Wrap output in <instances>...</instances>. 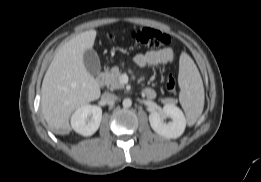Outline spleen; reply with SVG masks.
Here are the masks:
<instances>
[{
	"mask_svg": "<svg viewBox=\"0 0 261 182\" xmlns=\"http://www.w3.org/2000/svg\"><path fill=\"white\" fill-rule=\"evenodd\" d=\"M180 104L186 114L189 126L196 123L204 107V87L201 75L192 58L182 53L179 60Z\"/></svg>",
	"mask_w": 261,
	"mask_h": 182,
	"instance_id": "1",
	"label": "spleen"
}]
</instances>
